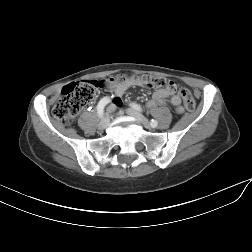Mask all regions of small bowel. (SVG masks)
Returning a JSON list of instances; mask_svg holds the SVG:
<instances>
[{
  "instance_id": "obj_1",
  "label": "small bowel",
  "mask_w": 252,
  "mask_h": 252,
  "mask_svg": "<svg viewBox=\"0 0 252 252\" xmlns=\"http://www.w3.org/2000/svg\"><path fill=\"white\" fill-rule=\"evenodd\" d=\"M133 86H144V83L133 78H130L125 82H117L111 78L106 82V89L114 93L116 96H121L128 88ZM175 91L176 90L170 91L166 88L155 91L152 99L147 102V107L153 108L169 102L176 107L177 111L181 112V99ZM118 104L119 102L116 101L114 107Z\"/></svg>"
}]
</instances>
